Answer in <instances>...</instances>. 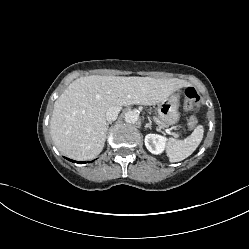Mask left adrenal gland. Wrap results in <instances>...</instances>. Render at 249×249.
<instances>
[{"label": "left adrenal gland", "instance_id": "a2214340", "mask_svg": "<svg viewBox=\"0 0 249 249\" xmlns=\"http://www.w3.org/2000/svg\"><path fill=\"white\" fill-rule=\"evenodd\" d=\"M151 125H152V123H151V121L149 120V123H147V124L145 125V128L151 129Z\"/></svg>", "mask_w": 249, "mask_h": 249}]
</instances>
